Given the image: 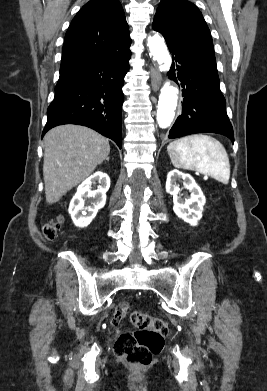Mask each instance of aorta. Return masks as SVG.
<instances>
[{
    "label": "aorta",
    "instance_id": "1",
    "mask_svg": "<svg viewBox=\"0 0 267 391\" xmlns=\"http://www.w3.org/2000/svg\"><path fill=\"white\" fill-rule=\"evenodd\" d=\"M147 45L150 50V56L153 61L159 65V70L167 72L171 66V58L167 50V46L163 37L159 34L149 36ZM178 89L166 81L161 88L157 109V123L160 128H167L171 125L178 101Z\"/></svg>",
    "mask_w": 267,
    "mask_h": 391
}]
</instances>
